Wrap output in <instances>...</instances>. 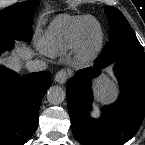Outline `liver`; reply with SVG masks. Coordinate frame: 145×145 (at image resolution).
<instances>
[{
  "label": "liver",
  "instance_id": "liver-1",
  "mask_svg": "<svg viewBox=\"0 0 145 145\" xmlns=\"http://www.w3.org/2000/svg\"><path fill=\"white\" fill-rule=\"evenodd\" d=\"M31 52L28 51L25 47L19 46L16 48L15 52L5 58L0 60V63L6 64L8 67L13 68L14 70H20V60H27L31 56Z\"/></svg>",
  "mask_w": 145,
  "mask_h": 145
}]
</instances>
